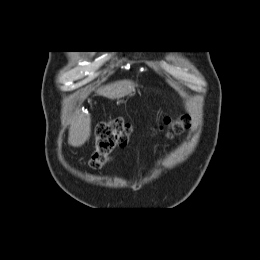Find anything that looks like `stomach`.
Masks as SVG:
<instances>
[{
    "instance_id": "stomach-1",
    "label": "stomach",
    "mask_w": 260,
    "mask_h": 260,
    "mask_svg": "<svg viewBox=\"0 0 260 260\" xmlns=\"http://www.w3.org/2000/svg\"><path fill=\"white\" fill-rule=\"evenodd\" d=\"M133 84L131 82H120L117 83V87L113 90L114 98H121L128 94H130L133 91Z\"/></svg>"
}]
</instances>
